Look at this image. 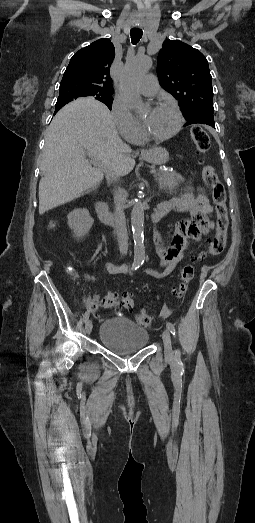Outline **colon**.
<instances>
[{
  "label": "colon",
  "instance_id": "colon-1",
  "mask_svg": "<svg viewBox=\"0 0 255 523\" xmlns=\"http://www.w3.org/2000/svg\"><path fill=\"white\" fill-rule=\"evenodd\" d=\"M191 135L198 152L202 155L206 154L210 148V139L206 131L201 127L196 126L192 128ZM201 162L203 163V160H201ZM202 178L211 192L215 206L216 231L214 236L209 238L207 247L194 254L191 257L190 262L181 269L178 282L174 289V294L179 300L185 297L189 283L194 277L195 263L204 259L209 254H221L226 245L229 217L225 187L213 166L209 164L203 163ZM50 226H53V223ZM89 305L92 308H95L96 306L94 302H90ZM102 305L104 308L108 309L122 306L127 310H132L134 308V297L130 293H125L120 299L116 294L108 293L102 299ZM135 321L143 327H149L152 323L150 315L144 312L137 313L135 315Z\"/></svg>",
  "mask_w": 255,
  "mask_h": 523
}]
</instances>
